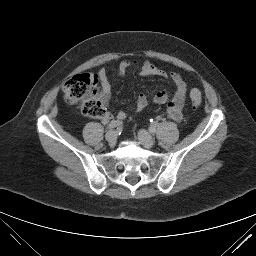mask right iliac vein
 <instances>
[{
	"mask_svg": "<svg viewBox=\"0 0 256 256\" xmlns=\"http://www.w3.org/2000/svg\"><path fill=\"white\" fill-rule=\"evenodd\" d=\"M105 139L109 144H114L117 139V134L114 130H110L106 133Z\"/></svg>",
	"mask_w": 256,
	"mask_h": 256,
	"instance_id": "1",
	"label": "right iliac vein"
}]
</instances>
